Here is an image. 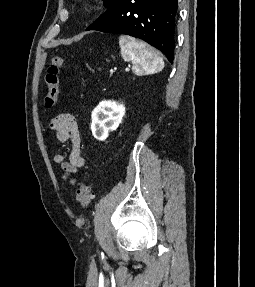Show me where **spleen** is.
Wrapping results in <instances>:
<instances>
[{
    "instance_id": "obj_1",
    "label": "spleen",
    "mask_w": 255,
    "mask_h": 287,
    "mask_svg": "<svg viewBox=\"0 0 255 287\" xmlns=\"http://www.w3.org/2000/svg\"><path fill=\"white\" fill-rule=\"evenodd\" d=\"M119 44L121 56L125 62H132L134 70H149L151 74L161 72L164 62L150 46L144 42H138L130 36H120Z\"/></svg>"
}]
</instances>
